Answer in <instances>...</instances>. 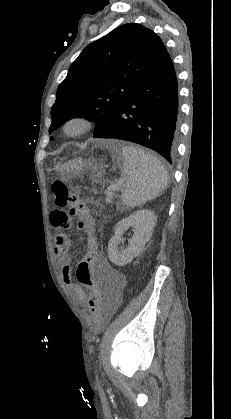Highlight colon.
<instances>
[{
	"mask_svg": "<svg viewBox=\"0 0 231 419\" xmlns=\"http://www.w3.org/2000/svg\"><path fill=\"white\" fill-rule=\"evenodd\" d=\"M51 190L55 196L56 205L59 207H68L70 217L75 216L78 218L79 228L89 232V245L85 246V253L81 254L79 263L76 265L74 278L80 282L81 287L87 292L85 302L90 304L91 313L95 318L97 329H99L103 319L101 307L103 292L101 291V285L96 281L95 273H92V264L96 262L100 251L91 236V216L85 202L64 182L54 181L51 184Z\"/></svg>",
	"mask_w": 231,
	"mask_h": 419,
	"instance_id": "colon-1",
	"label": "colon"
}]
</instances>
